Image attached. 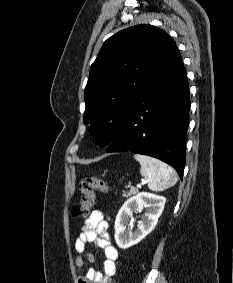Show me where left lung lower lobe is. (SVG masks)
I'll return each mask as SVG.
<instances>
[{
    "label": "left lung lower lobe",
    "instance_id": "obj_1",
    "mask_svg": "<svg viewBox=\"0 0 233 283\" xmlns=\"http://www.w3.org/2000/svg\"><path fill=\"white\" fill-rule=\"evenodd\" d=\"M189 109L187 74L175 45L147 80L107 152L132 151L158 158L174 167L182 179Z\"/></svg>",
    "mask_w": 233,
    "mask_h": 283
}]
</instances>
